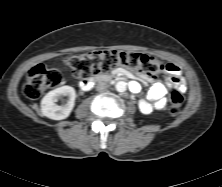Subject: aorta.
Masks as SVG:
<instances>
[{"label": "aorta", "instance_id": "762f6f07", "mask_svg": "<svg viewBox=\"0 0 222 187\" xmlns=\"http://www.w3.org/2000/svg\"><path fill=\"white\" fill-rule=\"evenodd\" d=\"M115 88L118 92H124L127 89V83L124 81H119L116 83Z\"/></svg>", "mask_w": 222, "mask_h": 187}]
</instances>
